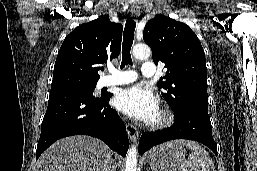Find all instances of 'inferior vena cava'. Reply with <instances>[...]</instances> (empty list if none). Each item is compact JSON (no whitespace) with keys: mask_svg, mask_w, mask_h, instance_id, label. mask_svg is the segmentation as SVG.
<instances>
[{"mask_svg":"<svg viewBox=\"0 0 257 171\" xmlns=\"http://www.w3.org/2000/svg\"><path fill=\"white\" fill-rule=\"evenodd\" d=\"M114 169H115V167H114L112 164H109V165L106 167L105 171H115Z\"/></svg>","mask_w":257,"mask_h":171,"instance_id":"1","label":"inferior vena cava"}]
</instances>
